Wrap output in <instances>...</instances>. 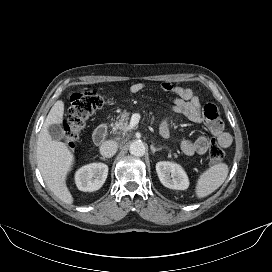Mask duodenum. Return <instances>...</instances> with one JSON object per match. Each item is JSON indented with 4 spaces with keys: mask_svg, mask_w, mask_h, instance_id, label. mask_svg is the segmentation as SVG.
<instances>
[{
    "mask_svg": "<svg viewBox=\"0 0 272 272\" xmlns=\"http://www.w3.org/2000/svg\"><path fill=\"white\" fill-rule=\"evenodd\" d=\"M106 135H107V126L104 124L97 126L92 135L94 144L100 145L105 140Z\"/></svg>",
    "mask_w": 272,
    "mask_h": 272,
    "instance_id": "obj_1",
    "label": "duodenum"
}]
</instances>
